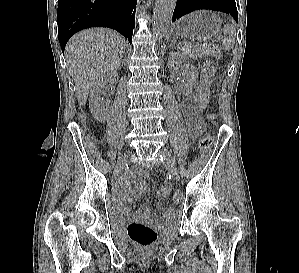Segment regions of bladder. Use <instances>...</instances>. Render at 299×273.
Returning <instances> with one entry per match:
<instances>
[{
  "label": "bladder",
  "mask_w": 299,
  "mask_h": 273,
  "mask_svg": "<svg viewBox=\"0 0 299 273\" xmlns=\"http://www.w3.org/2000/svg\"><path fill=\"white\" fill-rule=\"evenodd\" d=\"M115 219L118 223H122L127 220V217H125L121 214H116Z\"/></svg>",
  "instance_id": "obj_1"
}]
</instances>
